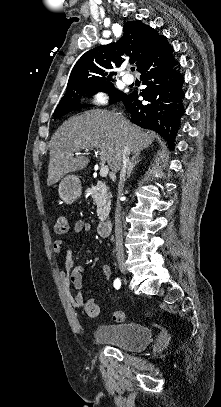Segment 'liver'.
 <instances>
[{
	"instance_id": "6515ba94",
	"label": "liver",
	"mask_w": 221,
	"mask_h": 407,
	"mask_svg": "<svg viewBox=\"0 0 221 407\" xmlns=\"http://www.w3.org/2000/svg\"><path fill=\"white\" fill-rule=\"evenodd\" d=\"M156 134L140 127L107 110H91L73 116L65 121L53 134L50 142V160L47 185L52 186L64 175L86 167L89 158L77 155L82 149H100V160L107 162L114 172L119 171V163L128 145L133 154L152 144Z\"/></svg>"
}]
</instances>
